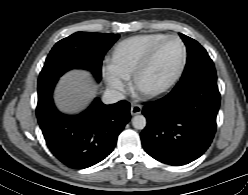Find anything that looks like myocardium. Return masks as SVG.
I'll use <instances>...</instances> for the list:
<instances>
[{"label":"myocardium","mask_w":248,"mask_h":195,"mask_svg":"<svg viewBox=\"0 0 248 195\" xmlns=\"http://www.w3.org/2000/svg\"><path fill=\"white\" fill-rule=\"evenodd\" d=\"M172 39H176L179 40L182 44L183 47V57H182V61L181 64L177 70V72L175 73V75L172 77V79H170L165 85L156 88V89H146L142 86V80L144 78V76L146 75V73L151 69L159 51L161 50V48L170 40ZM187 58H188V49L187 46L185 44V42L183 41V39L181 37H179L178 35H170L167 36L166 38H164L162 41H160L150 52V54L148 55V57L146 58V60L144 61V63L142 64V66L137 70V72L134 74L133 76V88L141 95L148 97V98H153V97H157L160 96L164 93H166L167 91H169L171 88L174 87V85L178 82V80L181 78L184 69L186 67L187 64Z\"/></svg>","instance_id":"1"}]
</instances>
